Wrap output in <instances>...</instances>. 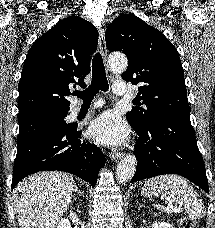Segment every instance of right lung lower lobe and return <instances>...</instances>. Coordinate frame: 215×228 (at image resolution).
I'll return each mask as SVG.
<instances>
[{"label":"right lung lower lobe","instance_id":"obj_1","mask_svg":"<svg viewBox=\"0 0 215 228\" xmlns=\"http://www.w3.org/2000/svg\"><path fill=\"white\" fill-rule=\"evenodd\" d=\"M81 134L74 125L47 129L17 141L12 189L26 176L46 170L72 173L94 187L105 156L95 144L82 142Z\"/></svg>","mask_w":215,"mask_h":228}]
</instances>
